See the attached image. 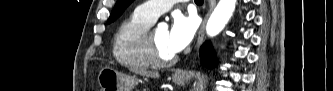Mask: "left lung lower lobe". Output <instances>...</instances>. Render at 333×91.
<instances>
[{
  "mask_svg": "<svg viewBox=\"0 0 333 91\" xmlns=\"http://www.w3.org/2000/svg\"><path fill=\"white\" fill-rule=\"evenodd\" d=\"M201 64L207 68H213L215 65V58L212 46L209 42H205L200 48Z\"/></svg>",
  "mask_w": 333,
  "mask_h": 91,
  "instance_id": "obj_1",
  "label": "left lung lower lobe"
}]
</instances>
